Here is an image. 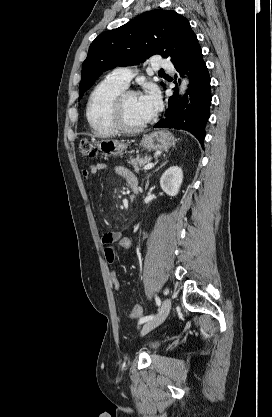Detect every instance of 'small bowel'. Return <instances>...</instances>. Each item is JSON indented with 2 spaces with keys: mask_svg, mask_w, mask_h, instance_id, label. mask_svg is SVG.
<instances>
[{
  "mask_svg": "<svg viewBox=\"0 0 272 417\" xmlns=\"http://www.w3.org/2000/svg\"><path fill=\"white\" fill-rule=\"evenodd\" d=\"M109 166L106 163H97L94 165H89L83 170V176L85 179H88L90 176L96 174L99 171H108ZM116 172L124 177L129 183L137 181L135 175L125 167L119 166L116 168ZM120 232L110 231L105 232L101 235V241L104 245H108L113 239L121 236Z\"/></svg>",
  "mask_w": 272,
  "mask_h": 417,
  "instance_id": "c3829d8e",
  "label": "small bowel"
}]
</instances>
